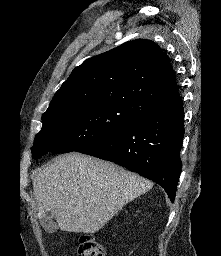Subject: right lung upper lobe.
Listing matches in <instances>:
<instances>
[{"mask_svg":"<svg viewBox=\"0 0 221 256\" xmlns=\"http://www.w3.org/2000/svg\"><path fill=\"white\" fill-rule=\"evenodd\" d=\"M115 104L150 115L182 104L166 53L146 39L128 41L76 67L44 113Z\"/></svg>","mask_w":221,"mask_h":256,"instance_id":"obj_1","label":"right lung upper lobe"}]
</instances>
